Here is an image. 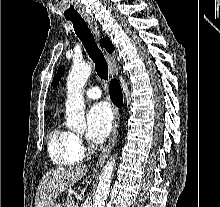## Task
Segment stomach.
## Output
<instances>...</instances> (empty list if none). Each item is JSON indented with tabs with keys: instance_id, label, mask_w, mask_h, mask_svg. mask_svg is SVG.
<instances>
[{
	"instance_id": "obj_1",
	"label": "stomach",
	"mask_w": 220,
	"mask_h": 207,
	"mask_svg": "<svg viewBox=\"0 0 220 207\" xmlns=\"http://www.w3.org/2000/svg\"><path fill=\"white\" fill-rule=\"evenodd\" d=\"M52 207H61L59 203L55 202Z\"/></svg>"
}]
</instances>
